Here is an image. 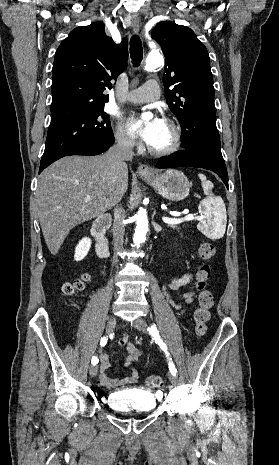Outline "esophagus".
<instances>
[{
    "label": "esophagus",
    "instance_id": "1",
    "mask_svg": "<svg viewBox=\"0 0 279 465\" xmlns=\"http://www.w3.org/2000/svg\"><path fill=\"white\" fill-rule=\"evenodd\" d=\"M131 26L135 32H139L140 29V19L137 15L130 16ZM137 172L142 177L151 176L153 171L151 167L147 164H140L138 166Z\"/></svg>",
    "mask_w": 279,
    "mask_h": 465
}]
</instances>
